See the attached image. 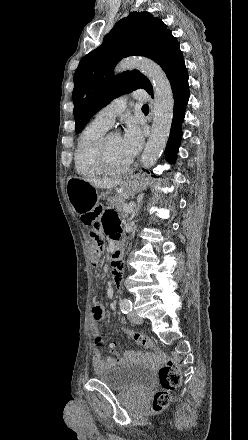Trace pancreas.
<instances>
[{
    "label": "pancreas",
    "instance_id": "obj_1",
    "mask_svg": "<svg viewBox=\"0 0 248 440\" xmlns=\"http://www.w3.org/2000/svg\"><path fill=\"white\" fill-rule=\"evenodd\" d=\"M107 201L110 204H113V205L116 206V208L119 211L121 217L128 218L129 214L123 210V198L122 197L114 196V197L108 198Z\"/></svg>",
    "mask_w": 248,
    "mask_h": 440
}]
</instances>
